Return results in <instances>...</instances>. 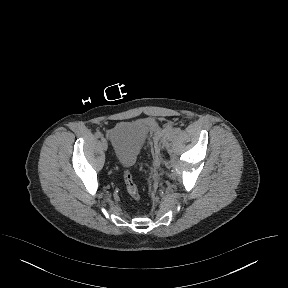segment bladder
I'll use <instances>...</instances> for the list:
<instances>
[{
  "label": "bladder",
  "mask_w": 288,
  "mask_h": 288,
  "mask_svg": "<svg viewBox=\"0 0 288 288\" xmlns=\"http://www.w3.org/2000/svg\"><path fill=\"white\" fill-rule=\"evenodd\" d=\"M148 136V127L141 122L121 123L109 132L114 157L118 164L131 166Z\"/></svg>",
  "instance_id": "1"
}]
</instances>
